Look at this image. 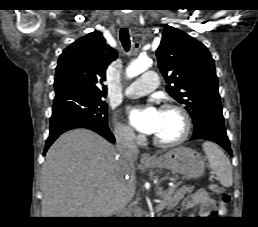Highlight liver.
Returning <instances> with one entry per match:
<instances>
[{
	"instance_id": "liver-1",
	"label": "liver",
	"mask_w": 258,
	"mask_h": 227,
	"mask_svg": "<svg viewBox=\"0 0 258 227\" xmlns=\"http://www.w3.org/2000/svg\"><path fill=\"white\" fill-rule=\"evenodd\" d=\"M41 190L42 217H108L134 197L135 167L120 165L114 146L98 134L74 129L49 148Z\"/></svg>"
}]
</instances>
